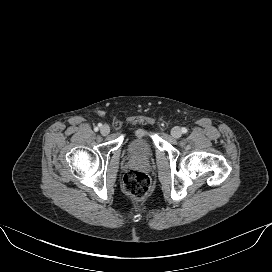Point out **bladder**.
<instances>
[{"label": "bladder", "instance_id": "1", "mask_svg": "<svg viewBox=\"0 0 272 272\" xmlns=\"http://www.w3.org/2000/svg\"><path fill=\"white\" fill-rule=\"evenodd\" d=\"M128 153L136 159L148 158L152 153L150 139L145 135L133 137L128 143Z\"/></svg>", "mask_w": 272, "mask_h": 272}]
</instances>
